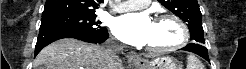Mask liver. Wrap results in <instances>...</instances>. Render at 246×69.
Masks as SVG:
<instances>
[{
    "instance_id": "6515ba94",
    "label": "liver",
    "mask_w": 246,
    "mask_h": 69,
    "mask_svg": "<svg viewBox=\"0 0 246 69\" xmlns=\"http://www.w3.org/2000/svg\"><path fill=\"white\" fill-rule=\"evenodd\" d=\"M34 69H123L121 60L112 58L104 46L75 39H61L40 51Z\"/></svg>"
}]
</instances>
